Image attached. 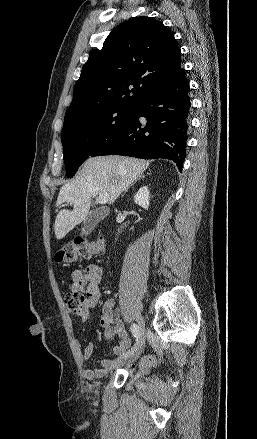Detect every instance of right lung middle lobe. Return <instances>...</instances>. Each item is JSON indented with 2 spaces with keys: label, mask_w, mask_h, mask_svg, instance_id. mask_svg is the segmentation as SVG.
I'll use <instances>...</instances> for the list:
<instances>
[{
  "label": "right lung middle lobe",
  "mask_w": 257,
  "mask_h": 439,
  "mask_svg": "<svg viewBox=\"0 0 257 439\" xmlns=\"http://www.w3.org/2000/svg\"><path fill=\"white\" fill-rule=\"evenodd\" d=\"M135 109L110 106L65 120L61 142L67 177L72 178L101 142L126 125Z\"/></svg>",
  "instance_id": "obj_1"
}]
</instances>
